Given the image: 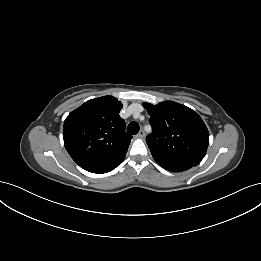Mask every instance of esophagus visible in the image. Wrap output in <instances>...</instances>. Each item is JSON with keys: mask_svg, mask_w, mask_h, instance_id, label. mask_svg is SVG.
I'll return each instance as SVG.
<instances>
[{"mask_svg": "<svg viewBox=\"0 0 261 261\" xmlns=\"http://www.w3.org/2000/svg\"><path fill=\"white\" fill-rule=\"evenodd\" d=\"M137 138H144L145 132L143 130H140L139 133L136 135Z\"/></svg>", "mask_w": 261, "mask_h": 261, "instance_id": "34e87169", "label": "esophagus"}]
</instances>
